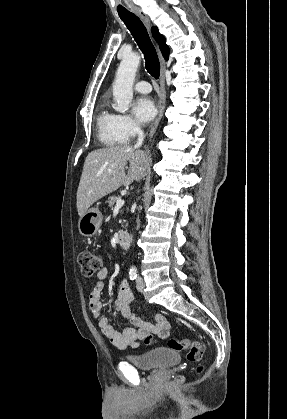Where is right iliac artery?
<instances>
[{
  "instance_id": "obj_1",
  "label": "right iliac artery",
  "mask_w": 287,
  "mask_h": 419,
  "mask_svg": "<svg viewBox=\"0 0 287 419\" xmlns=\"http://www.w3.org/2000/svg\"><path fill=\"white\" fill-rule=\"evenodd\" d=\"M138 276L137 270L131 269L129 271V277L131 280H135Z\"/></svg>"
}]
</instances>
